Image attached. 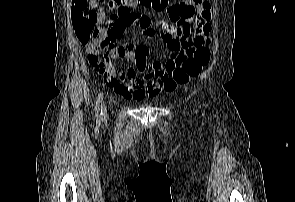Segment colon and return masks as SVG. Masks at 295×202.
Segmentation results:
<instances>
[{
	"label": "colon",
	"instance_id": "1",
	"mask_svg": "<svg viewBox=\"0 0 295 202\" xmlns=\"http://www.w3.org/2000/svg\"><path fill=\"white\" fill-rule=\"evenodd\" d=\"M166 3L167 0H108L107 8L112 13L106 19L105 26H112V22L115 19L127 20L130 18L132 15L130 7L133 4L162 8L166 6ZM74 27L82 45L92 49L94 47H99L100 49V47L106 46L108 38L102 36L100 32V28L104 26H95L85 15L74 11ZM206 42L209 43L210 40L206 39ZM209 61L210 51L203 45L191 50L182 51L175 63L167 65L164 72L165 79L162 88L166 91H173L178 86L188 84L192 79L200 75ZM107 76L112 77L110 75Z\"/></svg>",
	"mask_w": 295,
	"mask_h": 202
}]
</instances>
